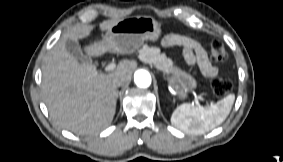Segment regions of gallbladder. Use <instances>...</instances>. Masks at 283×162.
Masks as SVG:
<instances>
[{"label": "gallbladder", "mask_w": 283, "mask_h": 162, "mask_svg": "<svg viewBox=\"0 0 283 162\" xmlns=\"http://www.w3.org/2000/svg\"><path fill=\"white\" fill-rule=\"evenodd\" d=\"M67 51L77 60L89 61L83 54L79 43L76 40L68 39L65 43Z\"/></svg>", "instance_id": "obj_1"}]
</instances>
